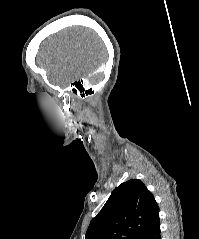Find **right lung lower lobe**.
I'll list each match as a JSON object with an SVG mask.
<instances>
[{
    "mask_svg": "<svg viewBox=\"0 0 199 239\" xmlns=\"http://www.w3.org/2000/svg\"><path fill=\"white\" fill-rule=\"evenodd\" d=\"M138 239H161L159 218Z\"/></svg>",
    "mask_w": 199,
    "mask_h": 239,
    "instance_id": "obj_1",
    "label": "right lung lower lobe"
}]
</instances>
